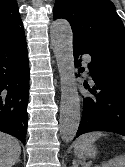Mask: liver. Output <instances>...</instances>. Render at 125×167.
<instances>
[{
    "label": "liver",
    "mask_w": 125,
    "mask_h": 167,
    "mask_svg": "<svg viewBox=\"0 0 125 167\" xmlns=\"http://www.w3.org/2000/svg\"><path fill=\"white\" fill-rule=\"evenodd\" d=\"M21 146L19 141L0 132V167H12L19 159Z\"/></svg>",
    "instance_id": "obj_1"
}]
</instances>
